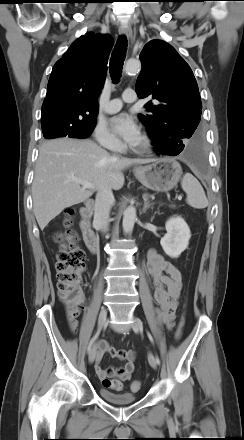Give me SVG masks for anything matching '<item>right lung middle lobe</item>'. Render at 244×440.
Wrapping results in <instances>:
<instances>
[{
  "mask_svg": "<svg viewBox=\"0 0 244 440\" xmlns=\"http://www.w3.org/2000/svg\"><path fill=\"white\" fill-rule=\"evenodd\" d=\"M96 121L75 125L65 120L41 121L44 138L53 139L58 137L86 138L91 135Z\"/></svg>",
  "mask_w": 244,
  "mask_h": 440,
  "instance_id": "dd1d6c3e",
  "label": "right lung middle lobe"
}]
</instances>
